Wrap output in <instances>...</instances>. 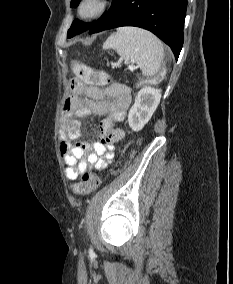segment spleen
Segmentation results:
<instances>
[{
	"label": "spleen",
	"instance_id": "1",
	"mask_svg": "<svg viewBox=\"0 0 233 284\" xmlns=\"http://www.w3.org/2000/svg\"><path fill=\"white\" fill-rule=\"evenodd\" d=\"M103 48L114 49L127 63H136L144 76H155L162 69L163 44L152 33L144 29L121 27L108 37Z\"/></svg>",
	"mask_w": 233,
	"mask_h": 284
}]
</instances>
